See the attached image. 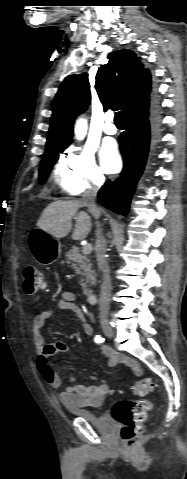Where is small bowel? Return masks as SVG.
Wrapping results in <instances>:
<instances>
[{
    "label": "small bowel",
    "mask_w": 187,
    "mask_h": 479,
    "mask_svg": "<svg viewBox=\"0 0 187 479\" xmlns=\"http://www.w3.org/2000/svg\"><path fill=\"white\" fill-rule=\"evenodd\" d=\"M76 301L77 297L74 293L63 292L60 294L55 308L37 313L32 318V337L38 354L36 367L44 381L57 390L62 387V380L59 374L52 369L50 358L57 353L67 352L70 346L63 341L46 343L41 329L47 320L56 316L57 310H68L81 317L84 322V333L86 336H90L92 334V327L86 322ZM99 351L108 358L109 366L115 367L119 364H124L136 375H141L142 371L136 360L114 352L107 346L99 347ZM91 378H94V376ZM70 381L71 386L61 390L58 394L59 400L66 408L71 410L88 407L100 408L103 405L105 396L109 391L106 380H102L97 385H84L78 383L76 378L71 376Z\"/></svg>",
    "instance_id": "1"
}]
</instances>
